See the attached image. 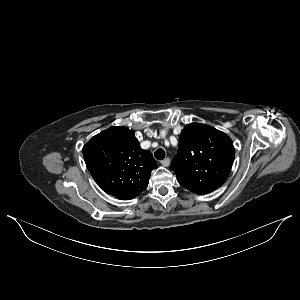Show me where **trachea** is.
Returning <instances> with one entry per match:
<instances>
[{"label":"trachea","mask_w":300,"mask_h":300,"mask_svg":"<svg viewBox=\"0 0 300 300\" xmlns=\"http://www.w3.org/2000/svg\"><path fill=\"white\" fill-rule=\"evenodd\" d=\"M154 156L157 160H163L165 158V151L159 148L155 151Z\"/></svg>","instance_id":"trachea-1"}]
</instances>
